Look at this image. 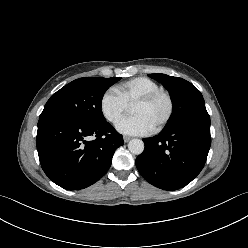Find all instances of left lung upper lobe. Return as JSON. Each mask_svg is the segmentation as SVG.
<instances>
[{
  "label": "left lung upper lobe",
  "mask_w": 248,
  "mask_h": 248,
  "mask_svg": "<svg viewBox=\"0 0 248 248\" xmlns=\"http://www.w3.org/2000/svg\"><path fill=\"white\" fill-rule=\"evenodd\" d=\"M148 76L160 82L171 96L173 110L163 130H170L192 118L208 114L202 94L190 82L166 74Z\"/></svg>",
  "instance_id": "obj_1"
}]
</instances>
